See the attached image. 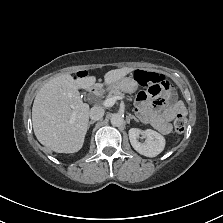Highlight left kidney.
I'll return each mask as SVG.
<instances>
[{"label":"left kidney","instance_id":"1","mask_svg":"<svg viewBox=\"0 0 223 223\" xmlns=\"http://www.w3.org/2000/svg\"><path fill=\"white\" fill-rule=\"evenodd\" d=\"M139 130H129V139L136 151L147 157H155L159 155L165 148V137L153 129H147L144 134L147 137V143L142 144L138 139Z\"/></svg>","mask_w":223,"mask_h":223}]
</instances>
